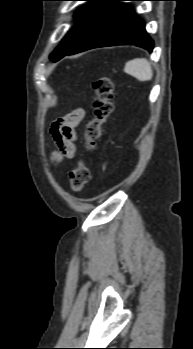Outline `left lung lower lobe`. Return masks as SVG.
<instances>
[{
    "mask_svg": "<svg viewBox=\"0 0 193 349\" xmlns=\"http://www.w3.org/2000/svg\"><path fill=\"white\" fill-rule=\"evenodd\" d=\"M111 1H138V0H111ZM133 44L152 52L153 41L145 31L144 23L127 6L114 3L106 7L90 24L78 42L66 53L71 55L92 48Z\"/></svg>",
    "mask_w": 193,
    "mask_h": 349,
    "instance_id": "1",
    "label": "left lung lower lobe"
}]
</instances>
